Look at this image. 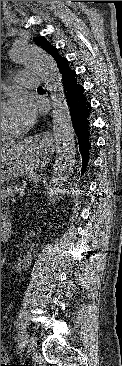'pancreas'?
Listing matches in <instances>:
<instances>
[{"mask_svg": "<svg viewBox=\"0 0 122 366\" xmlns=\"http://www.w3.org/2000/svg\"><path fill=\"white\" fill-rule=\"evenodd\" d=\"M23 188V186H19L17 184H11L7 187H3L1 189V200L6 201L10 199L16 192L24 190Z\"/></svg>", "mask_w": 122, "mask_h": 366, "instance_id": "obj_1", "label": "pancreas"}]
</instances>
